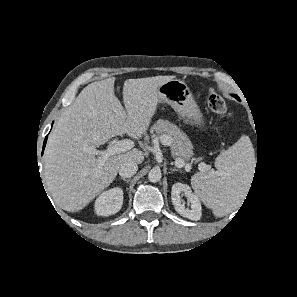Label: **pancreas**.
<instances>
[{"mask_svg":"<svg viewBox=\"0 0 297 297\" xmlns=\"http://www.w3.org/2000/svg\"><path fill=\"white\" fill-rule=\"evenodd\" d=\"M152 131H155L156 135L154 136L159 138L163 135L168 136L173 157L188 160L193 156V145L190 139L175 124L170 123L168 120L159 119L152 126Z\"/></svg>","mask_w":297,"mask_h":297,"instance_id":"pancreas-1","label":"pancreas"}]
</instances>
